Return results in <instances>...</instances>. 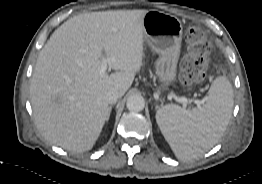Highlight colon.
<instances>
[{"label":"colon","mask_w":262,"mask_h":184,"mask_svg":"<svg viewBox=\"0 0 262 184\" xmlns=\"http://www.w3.org/2000/svg\"><path fill=\"white\" fill-rule=\"evenodd\" d=\"M187 54L180 66V80L192 86L204 81L209 63L210 42L197 27H188L185 33Z\"/></svg>","instance_id":"colon-1"}]
</instances>
